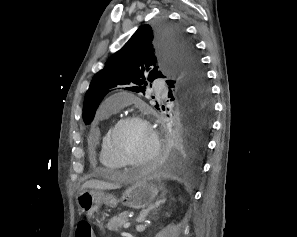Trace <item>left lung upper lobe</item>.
Masks as SVG:
<instances>
[{"instance_id":"5c2ea615","label":"left lung upper lobe","mask_w":297,"mask_h":237,"mask_svg":"<svg viewBox=\"0 0 297 237\" xmlns=\"http://www.w3.org/2000/svg\"><path fill=\"white\" fill-rule=\"evenodd\" d=\"M156 78H167L175 97L188 98L197 106L210 103L205 74L182 29L167 22L142 25L94 75L84 99L85 124L93 120L99 103L111 89L126 87L145 94L146 80Z\"/></svg>"}]
</instances>
